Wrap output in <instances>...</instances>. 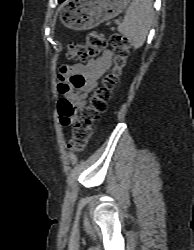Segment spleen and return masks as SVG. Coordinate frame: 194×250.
I'll return each mask as SVG.
<instances>
[{
    "instance_id": "3e777b00",
    "label": "spleen",
    "mask_w": 194,
    "mask_h": 250,
    "mask_svg": "<svg viewBox=\"0 0 194 250\" xmlns=\"http://www.w3.org/2000/svg\"><path fill=\"white\" fill-rule=\"evenodd\" d=\"M153 18L152 0H132L117 30L137 49L144 44Z\"/></svg>"
}]
</instances>
